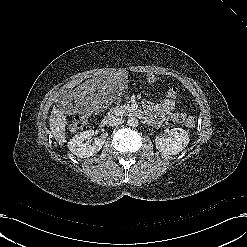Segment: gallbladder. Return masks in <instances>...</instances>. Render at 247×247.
<instances>
[{
  "mask_svg": "<svg viewBox=\"0 0 247 247\" xmlns=\"http://www.w3.org/2000/svg\"><path fill=\"white\" fill-rule=\"evenodd\" d=\"M69 95H70V90H66L65 93L62 95V100L64 101V103L66 102V104L61 105V108L64 112H70L73 108V106L67 103L69 99Z\"/></svg>",
  "mask_w": 247,
  "mask_h": 247,
  "instance_id": "1",
  "label": "gallbladder"
}]
</instances>
